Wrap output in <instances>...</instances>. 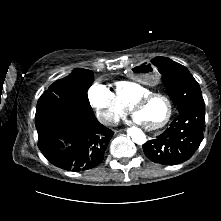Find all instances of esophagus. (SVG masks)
Returning <instances> with one entry per match:
<instances>
[{"label":"esophagus","instance_id":"1","mask_svg":"<svg viewBox=\"0 0 221 221\" xmlns=\"http://www.w3.org/2000/svg\"><path fill=\"white\" fill-rule=\"evenodd\" d=\"M114 133H117V130H114ZM119 133H125V130H119Z\"/></svg>","mask_w":221,"mask_h":221}]
</instances>
